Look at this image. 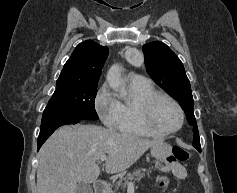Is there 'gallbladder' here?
Instances as JSON below:
<instances>
[{
    "mask_svg": "<svg viewBox=\"0 0 237 193\" xmlns=\"http://www.w3.org/2000/svg\"><path fill=\"white\" fill-rule=\"evenodd\" d=\"M75 193H93L91 186L85 183H78Z\"/></svg>",
    "mask_w": 237,
    "mask_h": 193,
    "instance_id": "obj_1",
    "label": "gallbladder"
}]
</instances>
